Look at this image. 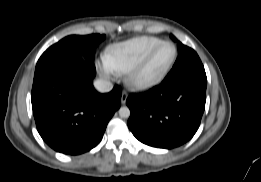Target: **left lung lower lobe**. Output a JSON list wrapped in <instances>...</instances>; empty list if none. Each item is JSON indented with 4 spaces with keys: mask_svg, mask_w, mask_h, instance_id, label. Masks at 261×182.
Wrapping results in <instances>:
<instances>
[{
    "mask_svg": "<svg viewBox=\"0 0 261 182\" xmlns=\"http://www.w3.org/2000/svg\"><path fill=\"white\" fill-rule=\"evenodd\" d=\"M205 70L163 82L141 94H131L126 104L128 127L142 143L171 149L190 140L199 128L205 109Z\"/></svg>",
    "mask_w": 261,
    "mask_h": 182,
    "instance_id": "obj_1",
    "label": "left lung lower lobe"
}]
</instances>
